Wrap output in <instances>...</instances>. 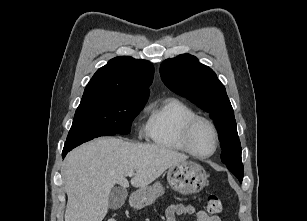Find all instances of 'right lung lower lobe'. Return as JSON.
I'll list each match as a JSON object with an SVG mask.
<instances>
[{
	"label": "right lung lower lobe",
	"mask_w": 307,
	"mask_h": 221,
	"mask_svg": "<svg viewBox=\"0 0 307 221\" xmlns=\"http://www.w3.org/2000/svg\"><path fill=\"white\" fill-rule=\"evenodd\" d=\"M68 151H63L62 152V156L65 157V155L67 154Z\"/></svg>",
	"instance_id": "obj_1"
}]
</instances>
